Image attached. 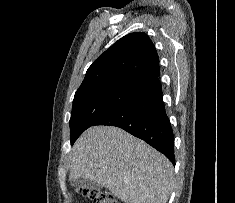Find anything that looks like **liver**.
<instances>
[{
	"label": "liver",
	"instance_id": "6515ba94",
	"mask_svg": "<svg viewBox=\"0 0 235 203\" xmlns=\"http://www.w3.org/2000/svg\"><path fill=\"white\" fill-rule=\"evenodd\" d=\"M70 176L109 189L125 203H166L173 186V166L160 152L114 126H93L75 142Z\"/></svg>",
	"mask_w": 235,
	"mask_h": 203
}]
</instances>
